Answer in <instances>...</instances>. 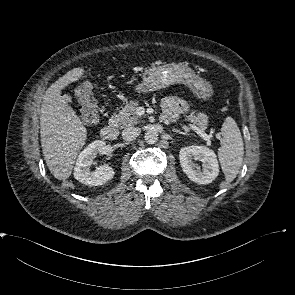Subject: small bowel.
Masks as SVG:
<instances>
[{"label":"small bowel","instance_id":"c3829d8e","mask_svg":"<svg viewBox=\"0 0 295 295\" xmlns=\"http://www.w3.org/2000/svg\"><path fill=\"white\" fill-rule=\"evenodd\" d=\"M163 118L167 121H173L178 116L186 114L189 111L187 101L179 95L166 97L162 101Z\"/></svg>","mask_w":295,"mask_h":295}]
</instances>
